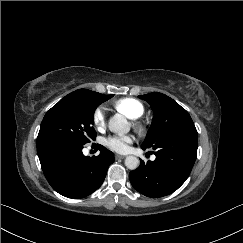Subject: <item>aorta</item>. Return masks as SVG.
<instances>
[{"mask_svg":"<svg viewBox=\"0 0 243 243\" xmlns=\"http://www.w3.org/2000/svg\"><path fill=\"white\" fill-rule=\"evenodd\" d=\"M109 130L113 133L124 135L130 131V125L127 119L121 114L112 116L108 123ZM139 159L135 156H127L125 165L130 170H135L139 166Z\"/></svg>","mask_w":243,"mask_h":243,"instance_id":"aorta-1","label":"aorta"}]
</instances>
